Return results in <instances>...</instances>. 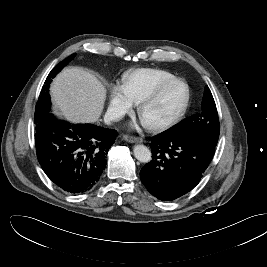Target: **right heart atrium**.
Masks as SVG:
<instances>
[{
  "label": "right heart atrium",
  "instance_id": "1",
  "mask_svg": "<svg viewBox=\"0 0 267 267\" xmlns=\"http://www.w3.org/2000/svg\"><path fill=\"white\" fill-rule=\"evenodd\" d=\"M133 107V103L128 98L124 87L115 84L110 90V102L107 114L110 119H118L122 115L128 113Z\"/></svg>",
  "mask_w": 267,
  "mask_h": 267
}]
</instances>
